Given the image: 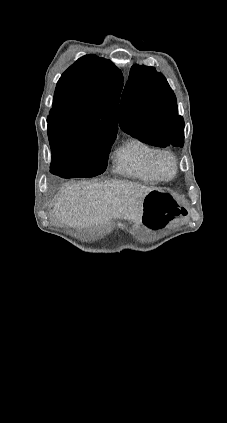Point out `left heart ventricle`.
<instances>
[{
	"label": "left heart ventricle",
	"instance_id": "left-heart-ventricle-1",
	"mask_svg": "<svg viewBox=\"0 0 227 423\" xmlns=\"http://www.w3.org/2000/svg\"><path fill=\"white\" fill-rule=\"evenodd\" d=\"M160 165L164 171V173L169 176L172 172V165L171 161L166 156H161L159 159Z\"/></svg>",
	"mask_w": 227,
	"mask_h": 423
}]
</instances>
